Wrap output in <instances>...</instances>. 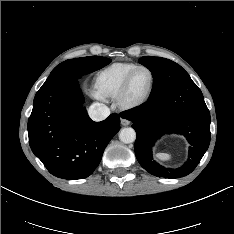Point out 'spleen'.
Wrapping results in <instances>:
<instances>
[{"instance_id":"spleen-1","label":"spleen","mask_w":234,"mask_h":234,"mask_svg":"<svg viewBox=\"0 0 234 234\" xmlns=\"http://www.w3.org/2000/svg\"><path fill=\"white\" fill-rule=\"evenodd\" d=\"M155 157L160 161H169L171 159V156L167 153H157L155 154Z\"/></svg>"}]
</instances>
